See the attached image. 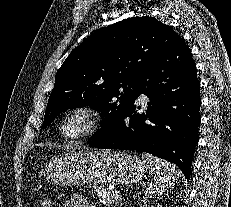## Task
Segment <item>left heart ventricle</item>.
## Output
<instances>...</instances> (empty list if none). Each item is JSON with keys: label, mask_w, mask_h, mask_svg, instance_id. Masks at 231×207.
<instances>
[{"label": "left heart ventricle", "mask_w": 231, "mask_h": 207, "mask_svg": "<svg viewBox=\"0 0 231 207\" xmlns=\"http://www.w3.org/2000/svg\"><path fill=\"white\" fill-rule=\"evenodd\" d=\"M84 128V121L81 118L71 120L67 125V131L70 134H77Z\"/></svg>", "instance_id": "left-heart-ventricle-1"}]
</instances>
